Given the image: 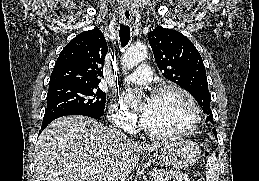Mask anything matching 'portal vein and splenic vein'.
<instances>
[{
  "label": "portal vein and splenic vein",
  "instance_id": "1",
  "mask_svg": "<svg viewBox=\"0 0 259 181\" xmlns=\"http://www.w3.org/2000/svg\"><path fill=\"white\" fill-rule=\"evenodd\" d=\"M86 171L89 172L91 175H94V174H96L98 172L95 169H89V168L86 169ZM156 181H164V179L163 178H157Z\"/></svg>",
  "mask_w": 259,
  "mask_h": 181
}]
</instances>
